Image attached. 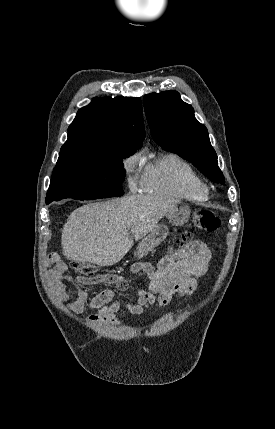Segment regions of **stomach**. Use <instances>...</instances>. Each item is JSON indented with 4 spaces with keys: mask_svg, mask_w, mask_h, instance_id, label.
I'll list each match as a JSON object with an SVG mask.
<instances>
[{
    "mask_svg": "<svg viewBox=\"0 0 275 429\" xmlns=\"http://www.w3.org/2000/svg\"><path fill=\"white\" fill-rule=\"evenodd\" d=\"M190 207L184 203L176 204L175 208L166 214L170 224L182 226L190 217ZM169 229L163 224H157L150 234L139 242L136 251L139 258L147 255L157 247L168 235Z\"/></svg>",
    "mask_w": 275,
    "mask_h": 429,
    "instance_id": "0dacf381",
    "label": "stomach"
}]
</instances>
